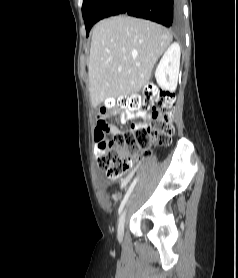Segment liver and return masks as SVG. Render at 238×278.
Instances as JSON below:
<instances>
[{
  "label": "liver",
  "mask_w": 238,
  "mask_h": 278,
  "mask_svg": "<svg viewBox=\"0 0 238 278\" xmlns=\"http://www.w3.org/2000/svg\"><path fill=\"white\" fill-rule=\"evenodd\" d=\"M171 42L172 34L166 28L148 20L115 16L98 22L88 63L92 105L133 95L145 87Z\"/></svg>",
  "instance_id": "1"
}]
</instances>
